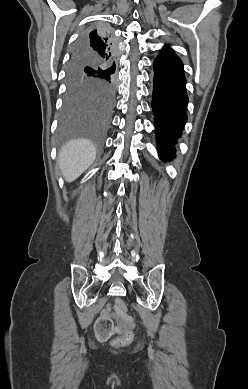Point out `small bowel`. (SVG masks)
<instances>
[{
	"label": "small bowel",
	"instance_id": "1",
	"mask_svg": "<svg viewBox=\"0 0 248 389\" xmlns=\"http://www.w3.org/2000/svg\"><path fill=\"white\" fill-rule=\"evenodd\" d=\"M112 307L110 305L107 306L105 310L102 311L103 316L110 317L111 316ZM126 325L132 326V322L128 321L126 322Z\"/></svg>",
	"mask_w": 248,
	"mask_h": 389
}]
</instances>
